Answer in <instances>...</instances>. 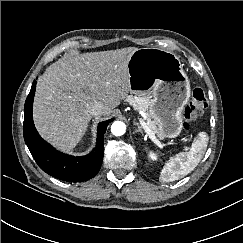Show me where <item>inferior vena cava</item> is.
<instances>
[{"instance_id":"602c4592","label":"inferior vena cava","mask_w":243,"mask_h":243,"mask_svg":"<svg viewBox=\"0 0 243 243\" xmlns=\"http://www.w3.org/2000/svg\"><path fill=\"white\" fill-rule=\"evenodd\" d=\"M104 111V105L100 102H94L91 104L89 112L93 115V116H100L103 114Z\"/></svg>"}]
</instances>
